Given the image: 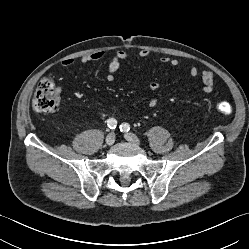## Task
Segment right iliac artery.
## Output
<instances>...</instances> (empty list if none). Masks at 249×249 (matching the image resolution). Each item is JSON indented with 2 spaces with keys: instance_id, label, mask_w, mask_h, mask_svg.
I'll return each mask as SVG.
<instances>
[{
  "instance_id": "obj_1",
  "label": "right iliac artery",
  "mask_w": 249,
  "mask_h": 249,
  "mask_svg": "<svg viewBox=\"0 0 249 249\" xmlns=\"http://www.w3.org/2000/svg\"><path fill=\"white\" fill-rule=\"evenodd\" d=\"M107 125L110 129H115L117 127V121L114 118H110L107 121Z\"/></svg>"
}]
</instances>
